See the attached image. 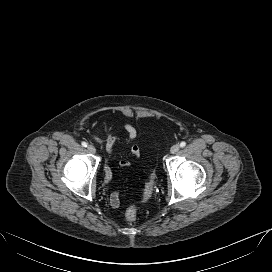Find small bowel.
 <instances>
[{
    "label": "small bowel",
    "mask_w": 272,
    "mask_h": 272,
    "mask_svg": "<svg viewBox=\"0 0 272 272\" xmlns=\"http://www.w3.org/2000/svg\"><path fill=\"white\" fill-rule=\"evenodd\" d=\"M124 129L126 132L125 137L115 136L112 134L107 122H104V131H105L104 136L100 137V136L92 135V138L97 142L105 143L108 154H112L114 146L116 144L118 143L131 144L137 137L138 132L133 124L126 122L124 124ZM130 154L133 157H138L140 155V148L137 145L133 144L130 147ZM119 166L121 168H127L130 166V162L128 160H121L119 162ZM105 171L107 172L106 173L107 175L105 176V183L108 184L112 178V173L108 166H105ZM123 197H124V194L122 192L115 191L111 193L110 195L111 206L113 208H118L120 205V201Z\"/></svg>",
    "instance_id": "small-bowel-1"
}]
</instances>
